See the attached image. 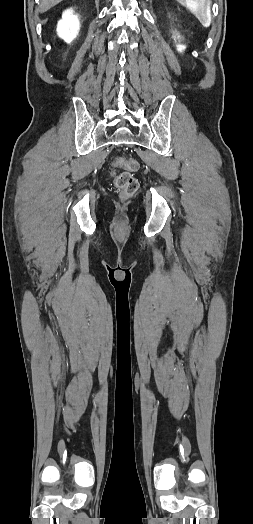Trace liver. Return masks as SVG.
I'll use <instances>...</instances> for the list:
<instances>
[{
  "label": "liver",
  "instance_id": "liver-1",
  "mask_svg": "<svg viewBox=\"0 0 253 524\" xmlns=\"http://www.w3.org/2000/svg\"><path fill=\"white\" fill-rule=\"evenodd\" d=\"M63 0H41L40 4V12H46L50 8L54 7L58 3L62 2Z\"/></svg>",
  "mask_w": 253,
  "mask_h": 524
}]
</instances>
